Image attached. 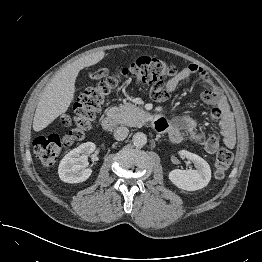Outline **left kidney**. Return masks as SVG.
<instances>
[{
  "label": "left kidney",
  "instance_id": "obj_1",
  "mask_svg": "<svg viewBox=\"0 0 262 262\" xmlns=\"http://www.w3.org/2000/svg\"><path fill=\"white\" fill-rule=\"evenodd\" d=\"M180 156L191 160L195 169H175L169 173V180L178 188L187 191H195L208 185L211 179L209 164L200 156L186 150L180 151Z\"/></svg>",
  "mask_w": 262,
  "mask_h": 262
}]
</instances>
